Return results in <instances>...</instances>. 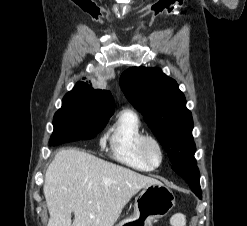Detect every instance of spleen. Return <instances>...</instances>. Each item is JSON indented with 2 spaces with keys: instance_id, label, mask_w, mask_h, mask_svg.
I'll return each instance as SVG.
<instances>
[{
  "instance_id": "spleen-1",
  "label": "spleen",
  "mask_w": 247,
  "mask_h": 226,
  "mask_svg": "<svg viewBox=\"0 0 247 226\" xmlns=\"http://www.w3.org/2000/svg\"><path fill=\"white\" fill-rule=\"evenodd\" d=\"M170 224L172 226H185L186 225V217L181 213H177L173 215L170 219Z\"/></svg>"
}]
</instances>
